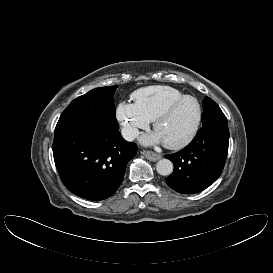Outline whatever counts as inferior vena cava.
I'll return each instance as SVG.
<instances>
[{
    "mask_svg": "<svg viewBox=\"0 0 273 273\" xmlns=\"http://www.w3.org/2000/svg\"><path fill=\"white\" fill-rule=\"evenodd\" d=\"M121 134L125 140L133 141L139 135V131L136 128L125 127L122 128Z\"/></svg>",
    "mask_w": 273,
    "mask_h": 273,
    "instance_id": "602c4592",
    "label": "inferior vena cava"
}]
</instances>
